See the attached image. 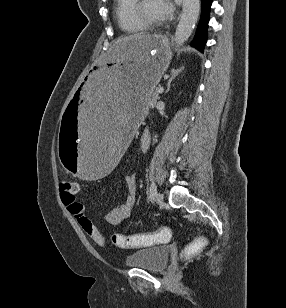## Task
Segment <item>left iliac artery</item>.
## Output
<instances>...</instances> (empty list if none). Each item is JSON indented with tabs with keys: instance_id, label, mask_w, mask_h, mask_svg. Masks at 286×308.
<instances>
[{
	"instance_id": "left-iliac-artery-1",
	"label": "left iliac artery",
	"mask_w": 286,
	"mask_h": 308,
	"mask_svg": "<svg viewBox=\"0 0 286 308\" xmlns=\"http://www.w3.org/2000/svg\"><path fill=\"white\" fill-rule=\"evenodd\" d=\"M156 185L154 182H151L150 189H149V199H152L153 196L156 194Z\"/></svg>"
}]
</instances>
